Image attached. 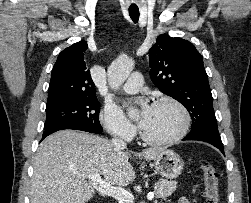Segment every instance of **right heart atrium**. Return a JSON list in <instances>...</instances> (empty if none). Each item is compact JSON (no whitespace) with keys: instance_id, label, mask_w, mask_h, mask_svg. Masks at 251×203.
Segmentation results:
<instances>
[{"instance_id":"obj_1","label":"right heart atrium","mask_w":251,"mask_h":203,"mask_svg":"<svg viewBox=\"0 0 251 203\" xmlns=\"http://www.w3.org/2000/svg\"><path fill=\"white\" fill-rule=\"evenodd\" d=\"M100 120L106 131L113 137L129 140L135 133L134 126L114 106H105L100 114Z\"/></svg>"}]
</instances>
